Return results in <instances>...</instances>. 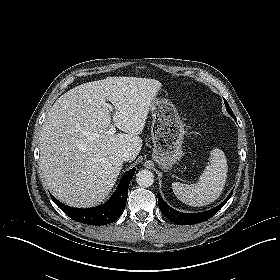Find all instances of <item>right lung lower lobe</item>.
<instances>
[{"label": "right lung lower lobe", "instance_id": "obj_1", "mask_svg": "<svg viewBox=\"0 0 280 280\" xmlns=\"http://www.w3.org/2000/svg\"><path fill=\"white\" fill-rule=\"evenodd\" d=\"M135 171L136 168H132L130 171H127L109 201L98 207L76 209L64 205L53 196H51V198L67 216L75 221L91 225L109 224L117 220L125 209L129 183Z\"/></svg>", "mask_w": 280, "mask_h": 280}]
</instances>
